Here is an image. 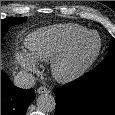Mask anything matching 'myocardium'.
<instances>
[{
  "label": "myocardium",
  "mask_w": 115,
  "mask_h": 115,
  "mask_svg": "<svg viewBox=\"0 0 115 115\" xmlns=\"http://www.w3.org/2000/svg\"><path fill=\"white\" fill-rule=\"evenodd\" d=\"M90 36H95L97 46L89 54L80 53L81 44ZM102 49V40L96 31L88 30L78 36L52 64V74L58 81L67 82L82 75L98 58Z\"/></svg>",
  "instance_id": "myocardium-1"
}]
</instances>
